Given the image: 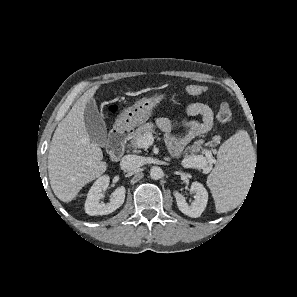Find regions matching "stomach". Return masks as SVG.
Instances as JSON below:
<instances>
[{
    "label": "stomach",
    "instance_id": "stomach-1",
    "mask_svg": "<svg viewBox=\"0 0 297 297\" xmlns=\"http://www.w3.org/2000/svg\"><path fill=\"white\" fill-rule=\"evenodd\" d=\"M164 97V94L157 93L151 97L137 101L133 106L128 107L121 113L115 126L120 129H126L138 126L147 121L151 117L154 108Z\"/></svg>",
    "mask_w": 297,
    "mask_h": 297
}]
</instances>
